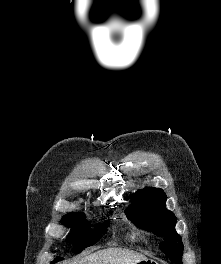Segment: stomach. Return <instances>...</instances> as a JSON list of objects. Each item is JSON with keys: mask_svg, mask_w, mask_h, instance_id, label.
<instances>
[{"mask_svg": "<svg viewBox=\"0 0 221 264\" xmlns=\"http://www.w3.org/2000/svg\"><path fill=\"white\" fill-rule=\"evenodd\" d=\"M137 264H159V263L153 259L147 258V259L139 261Z\"/></svg>", "mask_w": 221, "mask_h": 264, "instance_id": "obj_1", "label": "stomach"}]
</instances>
